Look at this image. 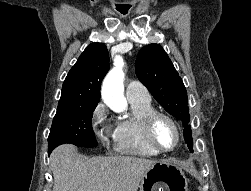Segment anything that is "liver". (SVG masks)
<instances>
[{"label":"liver","instance_id":"obj_1","mask_svg":"<svg viewBox=\"0 0 251 191\" xmlns=\"http://www.w3.org/2000/svg\"><path fill=\"white\" fill-rule=\"evenodd\" d=\"M154 159L115 155L79 157L72 143L55 147L50 155L54 175L53 191H137Z\"/></svg>","mask_w":251,"mask_h":191}]
</instances>
